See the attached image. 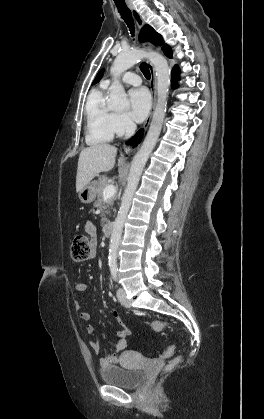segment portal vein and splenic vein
Returning <instances> with one entry per match:
<instances>
[{
	"label": "portal vein and splenic vein",
	"mask_w": 264,
	"mask_h": 419,
	"mask_svg": "<svg viewBox=\"0 0 264 419\" xmlns=\"http://www.w3.org/2000/svg\"><path fill=\"white\" fill-rule=\"evenodd\" d=\"M116 187L113 184H109L103 191L104 198H110L115 195Z\"/></svg>",
	"instance_id": "18ae733b"
}]
</instances>
